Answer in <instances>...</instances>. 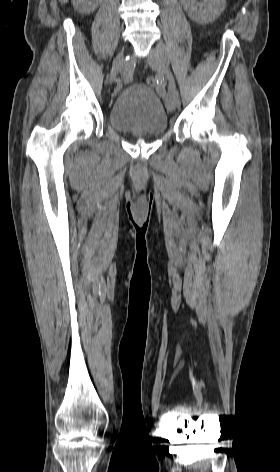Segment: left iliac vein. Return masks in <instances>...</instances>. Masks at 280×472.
<instances>
[{
  "label": "left iliac vein",
  "mask_w": 280,
  "mask_h": 472,
  "mask_svg": "<svg viewBox=\"0 0 280 472\" xmlns=\"http://www.w3.org/2000/svg\"><path fill=\"white\" fill-rule=\"evenodd\" d=\"M160 48H164V45L159 44L156 49H151L148 56V63L152 68L157 69L158 71H161L165 74L169 83L168 94L166 97V107L169 112H174L177 105L176 85L170 69L163 60Z\"/></svg>",
  "instance_id": "left-iliac-vein-1"
}]
</instances>
